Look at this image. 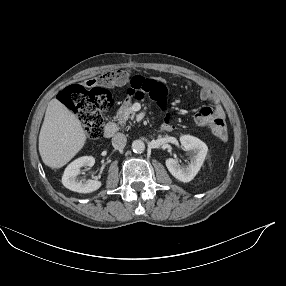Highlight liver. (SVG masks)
I'll return each mask as SVG.
<instances>
[{
    "mask_svg": "<svg viewBox=\"0 0 286 286\" xmlns=\"http://www.w3.org/2000/svg\"><path fill=\"white\" fill-rule=\"evenodd\" d=\"M86 138L79 119L58 99H52L39 134V152L44 164L63 167L84 147Z\"/></svg>",
    "mask_w": 286,
    "mask_h": 286,
    "instance_id": "1",
    "label": "liver"
}]
</instances>
